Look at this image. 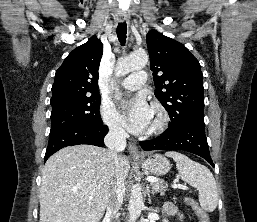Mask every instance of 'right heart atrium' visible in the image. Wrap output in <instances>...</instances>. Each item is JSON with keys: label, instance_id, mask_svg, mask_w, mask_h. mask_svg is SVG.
I'll use <instances>...</instances> for the list:
<instances>
[{"label": "right heart atrium", "instance_id": "right-heart-atrium-1", "mask_svg": "<svg viewBox=\"0 0 257 222\" xmlns=\"http://www.w3.org/2000/svg\"><path fill=\"white\" fill-rule=\"evenodd\" d=\"M100 116L112 135L120 138L126 135L120 116L113 106L109 104H101Z\"/></svg>", "mask_w": 257, "mask_h": 222}]
</instances>
